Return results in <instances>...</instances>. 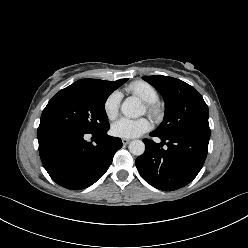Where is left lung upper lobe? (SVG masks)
<instances>
[{
	"instance_id": "1",
	"label": "left lung upper lobe",
	"mask_w": 248,
	"mask_h": 248,
	"mask_svg": "<svg viewBox=\"0 0 248 248\" xmlns=\"http://www.w3.org/2000/svg\"><path fill=\"white\" fill-rule=\"evenodd\" d=\"M165 101V115L160 126L153 131L168 137L182 130L209 128V110L200 93L189 84L168 76H144Z\"/></svg>"
}]
</instances>
